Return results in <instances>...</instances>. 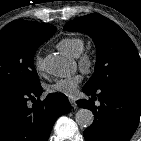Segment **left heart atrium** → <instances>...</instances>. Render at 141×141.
Instances as JSON below:
<instances>
[{"label":"left heart atrium","mask_w":141,"mask_h":141,"mask_svg":"<svg viewBox=\"0 0 141 141\" xmlns=\"http://www.w3.org/2000/svg\"><path fill=\"white\" fill-rule=\"evenodd\" d=\"M81 82V76L76 74L67 78L59 79L49 88L52 93H61L71 96L75 93L77 87Z\"/></svg>","instance_id":"left-heart-atrium-1"}]
</instances>
